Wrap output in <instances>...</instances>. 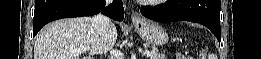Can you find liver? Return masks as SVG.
I'll return each mask as SVG.
<instances>
[{
    "instance_id": "obj_1",
    "label": "liver",
    "mask_w": 261,
    "mask_h": 59,
    "mask_svg": "<svg viewBox=\"0 0 261 59\" xmlns=\"http://www.w3.org/2000/svg\"><path fill=\"white\" fill-rule=\"evenodd\" d=\"M90 17L61 19L45 26L37 35L34 45V59H80L74 51L88 47V56L110 50L117 40V30L113 23L105 36H100L92 28Z\"/></svg>"
}]
</instances>
